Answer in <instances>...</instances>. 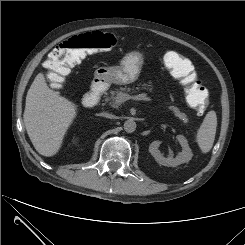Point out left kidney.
I'll use <instances>...</instances> for the list:
<instances>
[{"label": "left kidney", "mask_w": 245, "mask_h": 245, "mask_svg": "<svg viewBox=\"0 0 245 245\" xmlns=\"http://www.w3.org/2000/svg\"><path fill=\"white\" fill-rule=\"evenodd\" d=\"M176 139L178 140V142L180 143V145L182 147V152H180L176 156V158H165L161 154V152L159 150V146L161 144L160 141H153L150 144L149 152L154 157V159L156 160L157 163H159L160 165H163V166L176 167L180 164L188 163L191 160L193 154H192V151L188 145L187 139L183 135H177Z\"/></svg>", "instance_id": "5707ae66"}]
</instances>
